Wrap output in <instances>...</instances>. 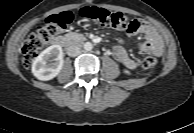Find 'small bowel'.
Returning a JSON list of instances; mask_svg holds the SVG:
<instances>
[{
    "label": "small bowel",
    "mask_w": 194,
    "mask_h": 133,
    "mask_svg": "<svg viewBox=\"0 0 194 133\" xmlns=\"http://www.w3.org/2000/svg\"><path fill=\"white\" fill-rule=\"evenodd\" d=\"M126 33L128 35L143 34L145 42L140 45V50L154 57L162 55L164 48L162 38L150 23L139 19L133 20L127 24ZM112 54L119 63L130 70H135L140 66V63L131 58L127 50L121 45L115 46Z\"/></svg>",
    "instance_id": "1"
}]
</instances>
